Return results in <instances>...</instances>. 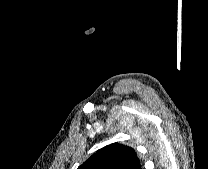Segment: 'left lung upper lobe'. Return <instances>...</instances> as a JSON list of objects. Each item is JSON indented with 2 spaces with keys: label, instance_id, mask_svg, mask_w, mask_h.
<instances>
[{
  "label": "left lung upper lobe",
  "instance_id": "obj_1",
  "mask_svg": "<svg viewBox=\"0 0 208 169\" xmlns=\"http://www.w3.org/2000/svg\"><path fill=\"white\" fill-rule=\"evenodd\" d=\"M78 169H142L133 148L113 143L99 149Z\"/></svg>",
  "mask_w": 208,
  "mask_h": 169
}]
</instances>
